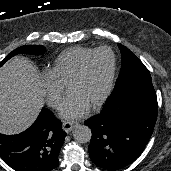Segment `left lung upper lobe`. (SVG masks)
<instances>
[{"label": "left lung upper lobe", "mask_w": 171, "mask_h": 171, "mask_svg": "<svg viewBox=\"0 0 171 171\" xmlns=\"http://www.w3.org/2000/svg\"><path fill=\"white\" fill-rule=\"evenodd\" d=\"M122 66L115 87L104 107L120 96L133 91L155 92L150 73L145 65L125 46L118 44Z\"/></svg>", "instance_id": "left-lung-upper-lobe-1"}]
</instances>
